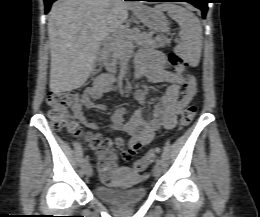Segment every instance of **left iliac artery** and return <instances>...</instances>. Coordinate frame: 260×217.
Segmentation results:
<instances>
[{
  "instance_id": "1",
  "label": "left iliac artery",
  "mask_w": 260,
  "mask_h": 217,
  "mask_svg": "<svg viewBox=\"0 0 260 217\" xmlns=\"http://www.w3.org/2000/svg\"><path fill=\"white\" fill-rule=\"evenodd\" d=\"M156 164L160 165L161 164V160L159 158L156 159Z\"/></svg>"
}]
</instances>
